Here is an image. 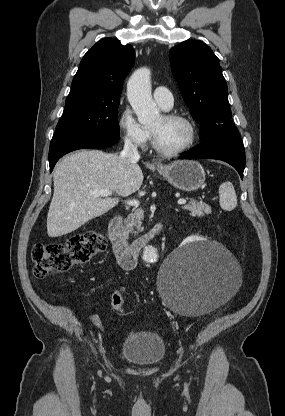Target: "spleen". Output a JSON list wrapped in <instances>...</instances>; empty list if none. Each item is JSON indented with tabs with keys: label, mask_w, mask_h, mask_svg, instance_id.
<instances>
[{
	"label": "spleen",
	"mask_w": 285,
	"mask_h": 416,
	"mask_svg": "<svg viewBox=\"0 0 285 416\" xmlns=\"http://www.w3.org/2000/svg\"><path fill=\"white\" fill-rule=\"evenodd\" d=\"M219 204L222 210L231 212L237 206V196L231 182H224L219 188Z\"/></svg>",
	"instance_id": "obj_1"
}]
</instances>
